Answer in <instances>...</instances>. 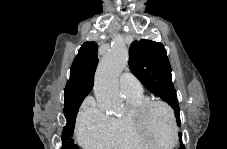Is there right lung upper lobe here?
<instances>
[{
	"label": "right lung upper lobe",
	"mask_w": 227,
	"mask_h": 149,
	"mask_svg": "<svg viewBox=\"0 0 227 149\" xmlns=\"http://www.w3.org/2000/svg\"><path fill=\"white\" fill-rule=\"evenodd\" d=\"M97 43L85 42L75 57L70 79L64 90L65 107L76 104L89 94L94 84V74L98 64Z\"/></svg>",
	"instance_id": "right-lung-upper-lobe-1"
}]
</instances>
